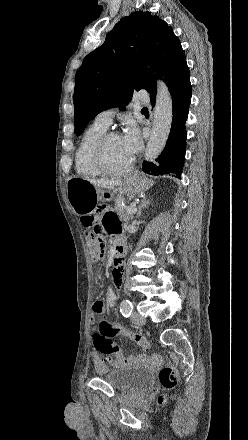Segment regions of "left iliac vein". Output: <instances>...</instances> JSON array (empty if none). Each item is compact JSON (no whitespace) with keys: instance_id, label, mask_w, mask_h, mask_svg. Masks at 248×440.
Here are the masks:
<instances>
[{"instance_id":"left-iliac-vein-1","label":"left iliac vein","mask_w":248,"mask_h":440,"mask_svg":"<svg viewBox=\"0 0 248 440\" xmlns=\"http://www.w3.org/2000/svg\"><path fill=\"white\" fill-rule=\"evenodd\" d=\"M131 321L139 326H142L145 324V318L141 316L138 312H133L131 315Z\"/></svg>"}]
</instances>
